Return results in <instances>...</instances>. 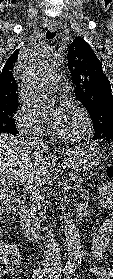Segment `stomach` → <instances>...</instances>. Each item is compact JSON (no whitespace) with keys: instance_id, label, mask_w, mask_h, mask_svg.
I'll return each instance as SVG.
<instances>
[{"instance_id":"obj_1","label":"stomach","mask_w":113,"mask_h":279,"mask_svg":"<svg viewBox=\"0 0 113 279\" xmlns=\"http://www.w3.org/2000/svg\"><path fill=\"white\" fill-rule=\"evenodd\" d=\"M63 157L68 167L75 171H84L98 166L102 155L95 146L82 145L67 152Z\"/></svg>"}]
</instances>
